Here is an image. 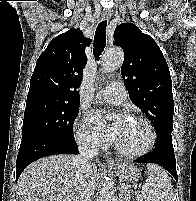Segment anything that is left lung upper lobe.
Segmentation results:
<instances>
[{
  "instance_id": "1",
  "label": "left lung upper lobe",
  "mask_w": 196,
  "mask_h": 201,
  "mask_svg": "<svg viewBox=\"0 0 196 201\" xmlns=\"http://www.w3.org/2000/svg\"><path fill=\"white\" fill-rule=\"evenodd\" d=\"M114 38L125 53L121 74L131 101L154 124L157 137L172 133V81L159 46L132 23L117 26Z\"/></svg>"
}]
</instances>
